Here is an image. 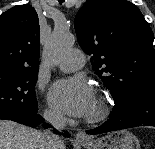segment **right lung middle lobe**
I'll use <instances>...</instances> for the list:
<instances>
[{
    "instance_id": "obj_1",
    "label": "right lung middle lobe",
    "mask_w": 155,
    "mask_h": 149,
    "mask_svg": "<svg viewBox=\"0 0 155 149\" xmlns=\"http://www.w3.org/2000/svg\"><path fill=\"white\" fill-rule=\"evenodd\" d=\"M37 71L0 70V117L28 120L38 111Z\"/></svg>"
}]
</instances>
